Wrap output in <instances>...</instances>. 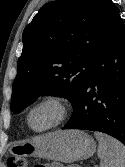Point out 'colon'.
Masks as SVG:
<instances>
[{"mask_svg": "<svg viewBox=\"0 0 125 167\" xmlns=\"http://www.w3.org/2000/svg\"><path fill=\"white\" fill-rule=\"evenodd\" d=\"M8 167H30L28 161L21 156H11L7 161ZM34 167H37L35 165Z\"/></svg>", "mask_w": 125, "mask_h": 167, "instance_id": "obj_1", "label": "colon"}]
</instances>
